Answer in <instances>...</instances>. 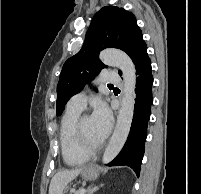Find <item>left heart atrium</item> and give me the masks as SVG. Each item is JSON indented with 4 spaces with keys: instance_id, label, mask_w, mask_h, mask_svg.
<instances>
[{
    "instance_id": "1",
    "label": "left heart atrium",
    "mask_w": 201,
    "mask_h": 194,
    "mask_svg": "<svg viewBox=\"0 0 201 194\" xmlns=\"http://www.w3.org/2000/svg\"><path fill=\"white\" fill-rule=\"evenodd\" d=\"M91 120L96 135L101 141L104 140L108 136L112 126V116L108 107L104 103H97L94 107Z\"/></svg>"
}]
</instances>
